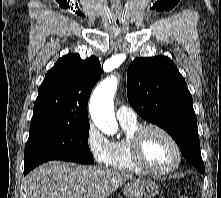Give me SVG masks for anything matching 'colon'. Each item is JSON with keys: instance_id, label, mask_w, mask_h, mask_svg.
<instances>
[{"instance_id": "1", "label": "colon", "mask_w": 221, "mask_h": 198, "mask_svg": "<svg viewBox=\"0 0 221 198\" xmlns=\"http://www.w3.org/2000/svg\"><path fill=\"white\" fill-rule=\"evenodd\" d=\"M177 198H188L186 190H182Z\"/></svg>"}]
</instances>
